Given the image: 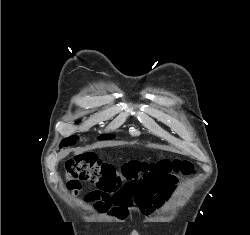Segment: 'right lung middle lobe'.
I'll return each mask as SVG.
<instances>
[{
    "instance_id": "dd1d6c3e",
    "label": "right lung middle lobe",
    "mask_w": 250,
    "mask_h": 235,
    "mask_svg": "<svg viewBox=\"0 0 250 235\" xmlns=\"http://www.w3.org/2000/svg\"><path fill=\"white\" fill-rule=\"evenodd\" d=\"M114 135L113 134H106V135H101L98 139L99 140H110L113 139ZM77 137L76 136H72L69 138H66L62 141L61 146H68V145H72L76 142Z\"/></svg>"
}]
</instances>
